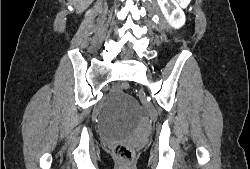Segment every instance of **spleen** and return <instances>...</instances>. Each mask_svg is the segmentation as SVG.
I'll list each match as a JSON object with an SVG mask.
<instances>
[{
    "label": "spleen",
    "instance_id": "spleen-1",
    "mask_svg": "<svg viewBox=\"0 0 250 169\" xmlns=\"http://www.w3.org/2000/svg\"><path fill=\"white\" fill-rule=\"evenodd\" d=\"M188 0H184V4H187Z\"/></svg>",
    "mask_w": 250,
    "mask_h": 169
}]
</instances>
